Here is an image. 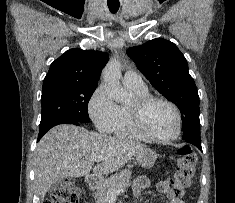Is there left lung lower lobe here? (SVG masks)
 <instances>
[{
  "instance_id": "obj_1",
  "label": "left lung lower lobe",
  "mask_w": 235,
  "mask_h": 203,
  "mask_svg": "<svg viewBox=\"0 0 235 203\" xmlns=\"http://www.w3.org/2000/svg\"><path fill=\"white\" fill-rule=\"evenodd\" d=\"M182 139L185 142H188V143H191V144L195 145L198 149H200L202 151L201 139L198 140V139H195V138H193L191 136H183Z\"/></svg>"
}]
</instances>
